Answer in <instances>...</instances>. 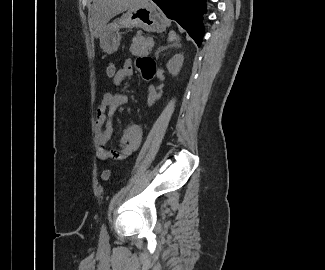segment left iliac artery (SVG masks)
<instances>
[{
    "mask_svg": "<svg viewBox=\"0 0 325 270\" xmlns=\"http://www.w3.org/2000/svg\"><path fill=\"white\" fill-rule=\"evenodd\" d=\"M101 235H102L103 238H107L108 237L107 230H106V226L104 224L101 227Z\"/></svg>",
    "mask_w": 325,
    "mask_h": 270,
    "instance_id": "left-iliac-artery-1",
    "label": "left iliac artery"
}]
</instances>
